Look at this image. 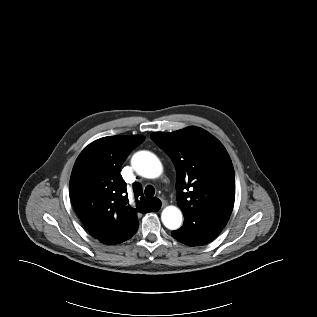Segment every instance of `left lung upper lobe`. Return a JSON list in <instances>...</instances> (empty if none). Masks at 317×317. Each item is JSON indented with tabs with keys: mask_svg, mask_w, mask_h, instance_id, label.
I'll list each match as a JSON object with an SVG mask.
<instances>
[{
	"mask_svg": "<svg viewBox=\"0 0 317 317\" xmlns=\"http://www.w3.org/2000/svg\"><path fill=\"white\" fill-rule=\"evenodd\" d=\"M151 138L175 165L177 201L184 216L215 213L230 217L235 176L221 142L194 126L173 133H154Z\"/></svg>",
	"mask_w": 317,
	"mask_h": 317,
	"instance_id": "5c2ea615",
	"label": "left lung upper lobe"
}]
</instances>
